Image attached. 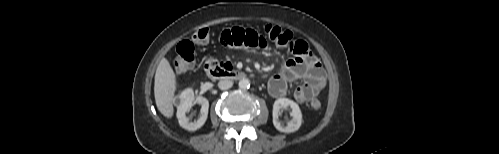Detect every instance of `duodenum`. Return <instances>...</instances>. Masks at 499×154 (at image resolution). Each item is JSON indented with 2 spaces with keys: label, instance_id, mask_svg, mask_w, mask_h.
I'll list each match as a JSON object with an SVG mask.
<instances>
[{
  "label": "duodenum",
  "instance_id": "obj_1",
  "mask_svg": "<svg viewBox=\"0 0 499 154\" xmlns=\"http://www.w3.org/2000/svg\"><path fill=\"white\" fill-rule=\"evenodd\" d=\"M209 75L212 79H230V80H242L246 77L245 73L238 70H226L219 71L218 69H209Z\"/></svg>",
  "mask_w": 499,
  "mask_h": 154
}]
</instances>
